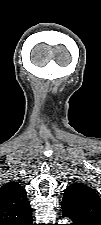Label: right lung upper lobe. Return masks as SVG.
<instances>
[{
    "instance_id": "right-lung-upper-lobe-1",
    "label": "right lung upper lobe",
    "mask_w": 101,
    "mask_h": 225,
    "mask_svg": "<svg viewBox=\"0 0 101 225\" xmlns=\"http://www.w3.org/2000/svg\"><path fill=\"white\" fill-rule=\"evenodd\" d=\"M25 189L10 181L0 188V225H32Z\"/></svg>"
}]
</instances>
